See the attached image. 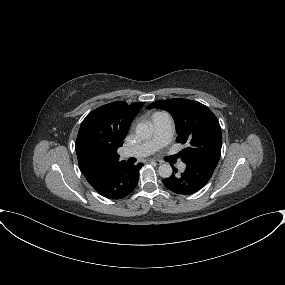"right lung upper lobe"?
<instances>
[{"instance_id": "right-lung-upper-lobe-1", "label": "right lung upper lobe", "mask_w": 285, "mask_h": 285, "mask_svg": "<svg viewBox=\"0 0 285 285\" xmlns=\"http://www.w3.org/2000/svg\"><path fill=\"white\" fill-rule=\"evenodd\" d=\"M143 105V102L128 105L117 101L103 105L85 117L75 150L80 170L88 182L126 163L118 161L117 149L122 146L132 120Z\"/></svg>"}]
</instances>
